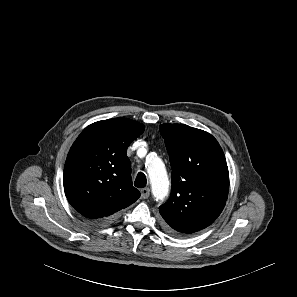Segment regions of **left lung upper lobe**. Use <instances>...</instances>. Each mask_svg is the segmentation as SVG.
Segmentation results:
<instances>
[{"instance_id":"obj_1","label":"left lung upper lobe","mask_w":297,"mask_h":297,"mask_svg":"<svg viewBox=\"0 0 297 297\" xmlns=\"http://www.w3.org/2000/svg\"><path fill=\"white\" fill-rule=\"evenodd\" d=\"M172 168L171 196L159 207L165 227L186 236L211 225L222 212L229 173L222 148L209 133L184 124L159 126Z\"/></svg>"}]
</instances>
